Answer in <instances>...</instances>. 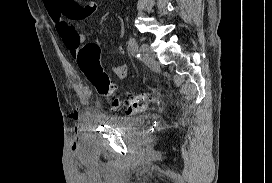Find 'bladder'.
<instances>
[{
	"mask_svg": "<svg viewBox=\"0 0 272 183\" xmlns=\"http://www.w3.org/2000/svg\"><path fill=\"white\" fill-rule=\"evenodd\" d=\"M101 123L124 131H135L143 124L139 116L108 115L101 118Z\"/></svg>",
	"mask_w": 272,
	"mask_h": 183,
	"instance_id": "bladder-1",
	"label": "bladder"
}]
</instances>
